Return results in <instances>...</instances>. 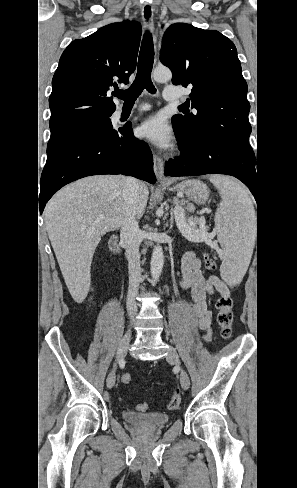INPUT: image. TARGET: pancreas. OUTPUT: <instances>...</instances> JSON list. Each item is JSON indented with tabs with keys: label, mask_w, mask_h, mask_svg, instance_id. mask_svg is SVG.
Wrapping results in <instances>:
<instances>
[{
	"label": "pancreas",
	"mask_w": 297,
	"mask_h": 488,
	"mask_svg": "<svg viewBox=\"0 0 297 488\" xmlns=\"http://www.w3.org/2000/svg\"><path fill=\"white\" fill-rule=\"evenodd\" d=\"M191 220H192V224H190V226H191L193 229H196L197 224H198V225H202V224H203V220H201L200 218H193V219H191Z\"/></svg>",
	"instance_id": "pancreas-1"
}]
</instances>
